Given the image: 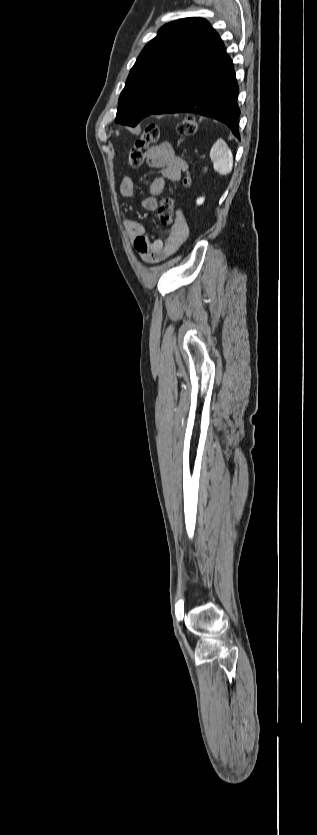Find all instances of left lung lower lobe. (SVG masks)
Listing matches in <instances>:
<instances>
[{
	"instance_id": "obj_1",
	"label": "left lung lower lobe",
	"mask_w": 317,
	"mask_h": 835,
	"mask_svg": "<svg viewBox=\"0 0 317 835\" xmlns=\"http://www.w3.org/2000/svg\"><path fill=\"white\" fill-rule=\"evenodd\" d=\"M239 87L232 60L216 33L187 67L170 97L152 114L195 113L225 123L240 139Z\"/></svg>"
}]
</instances>
